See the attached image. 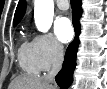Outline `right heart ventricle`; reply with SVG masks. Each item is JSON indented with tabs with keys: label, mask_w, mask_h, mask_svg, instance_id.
Listing matches in <instances>:
<instances>
[{
	"label": "right heart ventricle",
	"mask_w": 107,
	"mask_h": 89,
	"mask_svg": "<svg viewBox=\"0 0 107 89\" xmlns=\"http://www.w3.org/2000/svg\"><path fill=\"white\" fill-rule=\"evenodd\" d=\"M18 61L21 69L29 75H37L41 71L33 41L23 40L21 42L18 49Z\"/></svg>",
	"instance_id": "right-heart-ventricle-1"
}]
</instances>
